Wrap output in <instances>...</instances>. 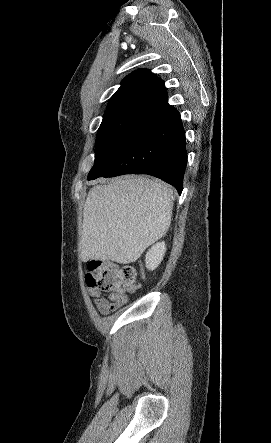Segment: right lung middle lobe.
<instances>
[{
	"label": "right lung middle lobe",
	"mask_w": 271,
	"mask_h": 443,
	"mask_svg": "<svg viewBox=\"0 0 271 443\" xmlns=\"http://www.w3.org/2000/svg\"><path fill=\"white\" fill-rule=\"evenodd\" d=\"M154 105L146 102L108 104L98 130L95 163L89 175L102 170L136 122Z\"/></svg>",
	"instance_id": "right-lung-middle-lobe-1"
}]
</instances>
